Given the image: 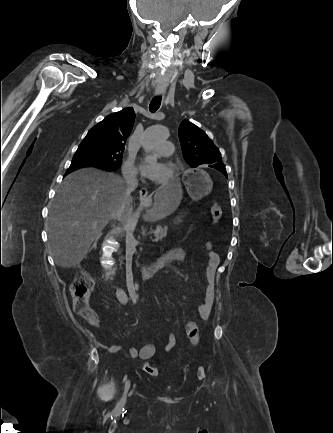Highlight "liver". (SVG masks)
Returning <instances> with one entry per match:
<instances>
[{
	"mask_svg": "<svg viewBox=\"0 0 333 433\" xmlns=\"http://www.w3.org/2000/svg\"><path fill=\"white\" fill-rule=\"evenodd\" d=\"M159 188L144 221L162 220L176 210L185 186L161 183ZM131 192L127 193L124 179L95 168L66 176L49 205L48 237L56 264L63 268L79 265L113 215L119 213L122 219L129 213Z\"/></svg>",
	"mask_w": 333,
	"mask_h": 433,
	"instance_id": "obj_1",
	"label": "liver"
}]
</instances>
